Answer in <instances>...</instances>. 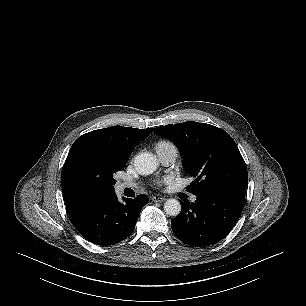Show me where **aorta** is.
Segmentation results:
<instances>
[{
	"label": "aorta",
	"instance_id": "1",
	"mask_svg": "<svg viewBox=\"0 0 306 306\" xmlns=\"http://www.w3.org/2000/svg\"><path fill=\"white\" fill-rule=\"evenodd\" d=\"M134 167L139 174L149 175L157 169L158 160L151 153H140L134 158ZM164 211L169 216H177L181 211V204L176 199H168L164 203Z\"/></svg>",
	"mask_w": 306,
	"mask_h": 306
}]
</instances>
